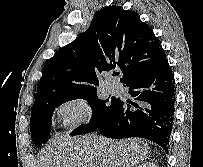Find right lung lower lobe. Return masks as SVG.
<instances>
[{
  "mask_svg": "<svg viewBox=\"0 0 203 167\" xmlns=\"http://www.w3.org/2000/svg\"><path fill=\"white\" fill-rule=\"evenodd\" d=\"M123 85L129 87V94L136 101L126 103L117 99L96 130L114 139L146 138L168 152L176 101L175 81L168 61Z\"/></svg>",
  "mask_w": 203,
  "mask_h": 167,
  "instance_id": "1",
  "label": "right lung lower lobe"
}]
</instances>
